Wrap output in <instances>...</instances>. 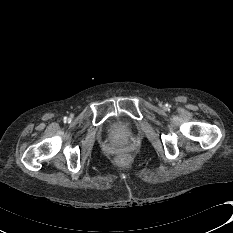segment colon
<instances>
[{
    "instance_id": "5ec220e1",
    "label": "colon",
    "mask_w": 233,
    "mask_h": 233,
    "mask_svg": "<svg viewBox=\"0 0 233 233\" xmlns=\"http://www.w3.org/2000/svg\"><path fill=\"white\" fill-rule=\"evenodd\" d=\"M126 159V157L124 155H120L118 157V161H124Z\"/></svg>"
}]
</instances>
